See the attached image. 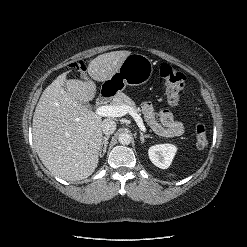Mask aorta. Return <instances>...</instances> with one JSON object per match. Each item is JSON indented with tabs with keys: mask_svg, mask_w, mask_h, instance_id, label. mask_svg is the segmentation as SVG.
<instances>
[{
	"mask_svg": "<svg viewBox=\"0 0 247 247\" xmlns=\"http://www.w3.org/2000/svg\"><path fill=\"white\" fill-rule=\"evenodd\" d=\"M118 141L122 145H128L132 141V136L129 133H121L118 137Z\"/></svg>",
	"mask_w": 247,
	"mask_h": 247,
	"instance_id": "1",
	"label": "aorta"
}]
</instances>
